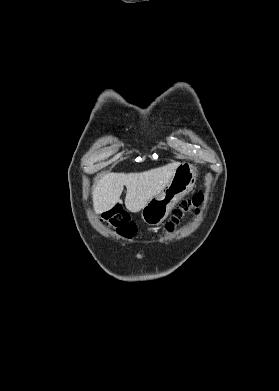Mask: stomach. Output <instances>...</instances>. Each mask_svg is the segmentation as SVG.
Instances as JSON below:
<instances>
[{"instance_id":"1","label":"stomach","mask_w":279,"mask_h":391,"mask_svg":"<svg viewBox=\"0 0 279 391\" xmlns=\"http://www.w3.org/2000/svg\"><path fill=\"white\" fill-rule=\"evenodd\" d=\"M196 169L189 163H182L176 169L166 187L143 207L141 217L149 225L161 224L171 209L194 187Z\"/></svg>"}]
</instances>
